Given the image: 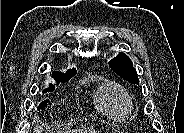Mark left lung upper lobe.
<instances>
[{
  "instance_id": "5c2ea615",
  "label": "left lung upper lobe",
  "mask_w": 184,
  "mask_h": 133,
  "mask_svg": "<svg viewBox=\"0 0 184 133\" xmlns=\"http://www.w3.org/2000/svg\"><path fill=\"white\" fill-rule=\"evenodd\" d=\"M110 68L119 76L131 84H139L136 69L133 67L131 59L120 52L118 56L109 62Z\"/></svg>"
}]
</instances>
